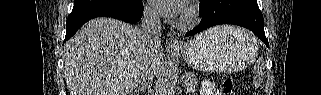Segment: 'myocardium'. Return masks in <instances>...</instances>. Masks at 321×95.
Masks as SVG:
<instances>
[{
  "mask_svg": "<svg viewBox=\"0 0 321 95\" xmlns=\"http://www.w3.org/2000/svg\"><path fill=\"white\" fill-rule=\"evenodd\" d=\"M198 12L195 7H188L182 16L176 21V26L180 29L192 28L197 22Z\"/></svg>",
  "mask_w": 321,
  "mask_h": 95,
  "instance_id": "obj_1",
  "label": "myocardium"
}]
</instances>
